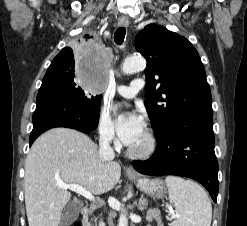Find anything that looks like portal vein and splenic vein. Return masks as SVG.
Masks as SVG:
<instances>
[{"label":"portal vein and splenic vein","mask_w":247,"mask_h":226,"mask_svg":"<svg viewBox=\"0 0 247 226\" xmlns=\"http://www.w3.org/2000/svg\"><path fill=\"white\" fill-rule=\"evenodd\" d=\"M57 186L59 188L62 189H69L79 195H82L83 197H85L86 199L90 200V201H94L95 197L92 195V193L90 191H88L87 189H85L84 187L77 185V184H66V183H57ZM180 215L179 214H172L170 219H174V218H179Z\"/></svg>","instance_id":"portal-vein-and-splenic-vein-1"}]
</instances>
